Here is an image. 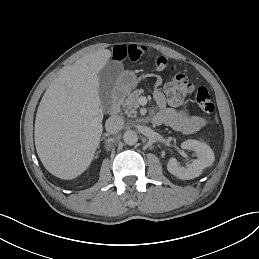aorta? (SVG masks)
Instances as JSON below:
<instances>
[{
    "label": "aorta",
    "mask_w": 259,
    "mask_h": 259,
    "mask_svg": "<svg viewBox=\"0 0 259 259\" xmlns=\"http://www.w3.org/2000/svg\"><path fill=\"white\" fill-rule=\"evenodd\" d=\"M123 140L127 145H134L138 141V135L135 131L133 130H128L124 133L123 135Z\"/></svg>",
    "instance_id": "1"
}]
</instances>
